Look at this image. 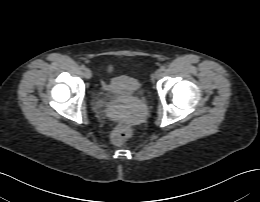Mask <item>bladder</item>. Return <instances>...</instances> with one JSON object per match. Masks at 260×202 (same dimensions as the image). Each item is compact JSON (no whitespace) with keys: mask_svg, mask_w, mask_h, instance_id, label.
Listing matches in <instances>:
<instances>
[{"mask_svg":"<svg viewBox=\"0 0 260 202\" xmlns=\"http://www.w3.org/2000/svg\"><path fill=\"white\" fill-rule=\"evenodd\" d=\"M141 90L140 82L131 76H118L106 87V93L117 97H133Z\"/></svg>","mask_w":260,"mask_h":202,"instance_id":"31cf9c89","label":"bladder"}]
</instances>
